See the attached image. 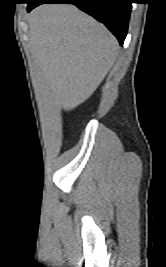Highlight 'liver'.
Wrapping results in <instances>:
<instances>
[{
	"mask_svg": "<svg viewBox=\"0 0 166 267\" xmlns=\"http://www.w3.org/2000/svg\"><path fill=\"white\" fill-rule=\"evenodd\" d=\"M29 35L33 58L65 111L91 96L118 56L116 38L73 5L37 7L30 17Z\"/></svg>",
	"mask_w": 166,
	"mask_h": 267,
	"instance_id": "6515ba94",
	"label": "liver"
}]
</instances>
